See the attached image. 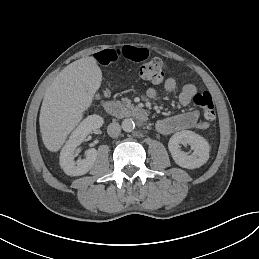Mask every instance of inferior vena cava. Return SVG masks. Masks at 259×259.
Returning <instances> with one entry per match:
<instances>
[{
    "mask_svg": "<svg viewBox=\"0 0 259 259\" xmlns=\"http://www.w3.org/2000/svg\"><path fill=\"white\" fill-rule=\"evenodd\" d=\"M120 132H121V126L116 122L109 124L107 127V133L112 138L118 137Z\"/></svg>",
    "mask_w": 259,
    "mask_h": 259,
    "instance_id": "1",
    "label": "inferior vena cava"
}]
</instances>
